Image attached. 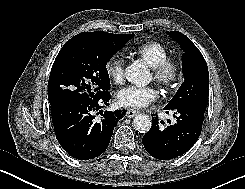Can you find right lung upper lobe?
<instances>
[{
    "label": "right lung upper lobe",
    "instance_id": "right-lung-upper-lobe-1",
    "mask_svg": "<svg viewBox=\"0 0 245 189\" xmlns=\"http://www.w3.org/2000/svg\"><path fill=\"white\" fill-rule=\"evenodd\" d=\"M90 33H94V34L103 36L114 42L126 40L130 35V34H112V33H107V32H102V31H95V32H90Z\"/></svg>",
    "mask_w": 245,
    "mask_h": 189
}]
</instances>
